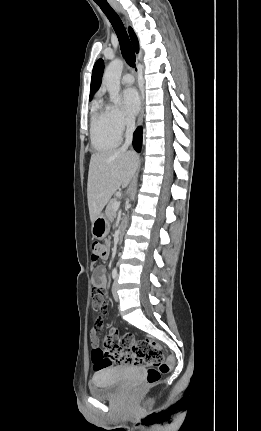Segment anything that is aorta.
<instances>
[{
    "label": "aorta",
    "instance_id": "aorta-1",
    "mask_svg": "<svg viewBox=\"0 0 261 431\" xmlns=\"http://www.w3.org/2000/svg\"><path fill=\"white\" fill-rule=\"evenodd\" d=\"M123 66L122 60L115 59L109 63L103 76V83L109 92L110 101L114 104L120 101V78Z\"/></svg>",
    "mask_w": 261,
    "mask_h": 431
}]
</instances>
